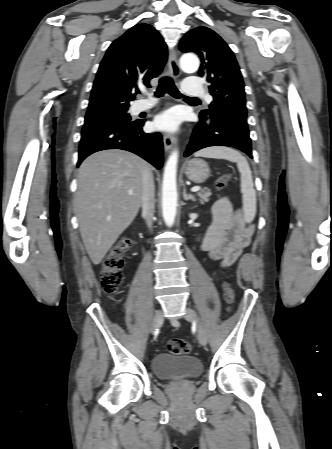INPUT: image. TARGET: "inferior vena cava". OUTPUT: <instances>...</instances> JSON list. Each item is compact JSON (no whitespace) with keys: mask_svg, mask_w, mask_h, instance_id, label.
Instances as JSON below:
<instances>
[{"mask_svg":"<svg viewBox=\"0 0 332 449\" xmlns=\"http://www.w3.org/2000/svg\"><path fill=\"white\" fill-rule=\"evenodd\" d=\"M155 210V186L153 174L149 167L144 168L142 172V213L147 223L151 228L152 218Z\"/></svg>","mask_w":332,"mask_h":449,"instance_id":"obj_1","label":"inferior vena cava"}]
</instances>
